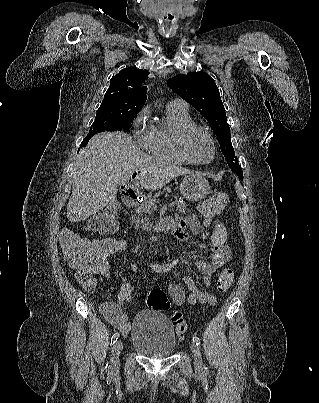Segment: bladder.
Masks as SVG:
<instances>
[{"label": "bladder", "mask_w": 319, "mask_h": 403, "mask_svg": "<svg viewBox=\"0 0 319 403\" xmlns=\"http://www.w3.org/2000/svg\"><path fill=\"white\" fill-rule=\"evenodd\" d=\"M130 343L139 354L154 358L169 357L177 348L176 333L170 319L149 309L141 310L135 316Z\"/></svg>", "instance_id": "bladder-1"}]
</instances>
